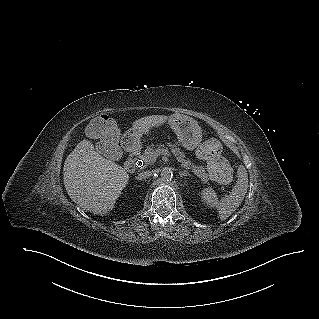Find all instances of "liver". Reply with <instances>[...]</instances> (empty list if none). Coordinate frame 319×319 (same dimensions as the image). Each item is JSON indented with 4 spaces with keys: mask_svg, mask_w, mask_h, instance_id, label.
<instances>
[{
    "mask_svg": "<svg viewBox=\"0 0 319 319\" xmlns=\"http://www.w3.org/2000/svg\"><path fill=\"white\" fill-rule=\"evenodd\" d=\"M169 120L163 115L147 116L136 120L132 129L148 131ZM63 171L64 185L72 201L96 214L112 210L129 181L123 167L96 152L86 139L67 156Z\"/></svg>",
    "mask_w": 319,
    "mask_h": 319,
    "instance_id": "1",
    "label": "liver"
}]
</instances>
